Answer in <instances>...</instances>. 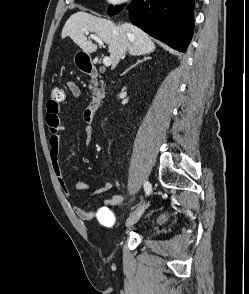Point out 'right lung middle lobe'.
<instances>
[{"label": "right lung middle lobe", "mask_w": 249, "mask_h": 294, "mask_svg": "<svg viewBox=\"0 0 249 294\" xmlns=\"http://www.w3.org/2000/svg\"><path fill=\"white\" fill-rule=\"evenodd\" d=\"M121 9H122V7H118V6L115 8V10H113V7H110V9H109V13H110V14H113V11H115V13H117V12H118L119 10H121Z\"/></svg>", "instance_id": "1"}]
</instances>
